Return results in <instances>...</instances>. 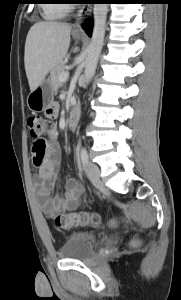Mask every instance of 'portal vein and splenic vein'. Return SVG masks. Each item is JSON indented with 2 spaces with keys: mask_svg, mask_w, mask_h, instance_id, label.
Returning a JSON list of instances; mask_svg holds the SVG:
<instances>
[{
  "mask_svg": "<svg viewBox=\"0 0 181 300\" xmlns=\"http://www.w3.org/2000/svg\"><path fill=\"white\" fill-rule=\"evenodd\" d=\"M68 77H69V72L66 71V72H64V73H62V74L60 75L59 79H60V81H62V82H66L67 79H68Z\"/></svg>",
  "mask_w": 181,
  "mask_h": 300,
  "instance_id": "portal-vein-and-splenic-vein-1",
  "label": "portal vein and splenic vein"
}]
</instances>
